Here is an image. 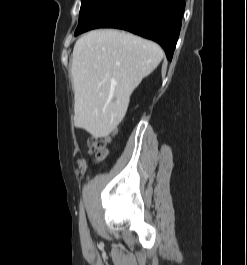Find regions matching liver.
<instances>
[{"mask_svg": "<svg viewBox=\"0 0 247 265\" xmlns=\"http://www.w3.org/2000/svg\"><path fill=\"white\" fill-rule=\"evenodd\" d=\"M162 58L156 43L114 29L79 38L71 68L75 126L93 137L108 136L123 120L133 91Z\"/></svg>", "mask_w": 247, "mask_h": 265, "instance_id": "6515ba94", "label": "liver"}]
</instances>
